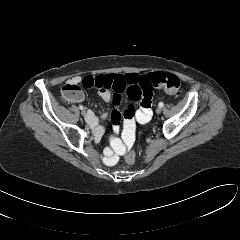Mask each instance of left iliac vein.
<instances>
[{"label":"left iliac vein","mask_w":240,"mask_h":240,"mask_svg":"<svg viewBox=\"0 0 240 240\" xmlns=\"http://www.w3.org/2000/svg\"><path fill=\"white\" fill-rule=\"evenodd\" d=\"M161 111H162L161 107H158V108L156 109V113H157V114H160Z\"/></svg>","instance_id":"1"}]
</instances>
